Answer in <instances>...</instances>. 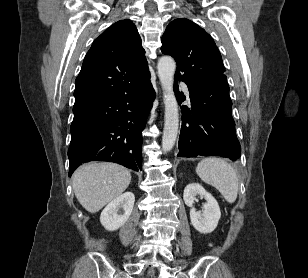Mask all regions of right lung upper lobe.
<instances>
[{
  "instance_id": "obj_1",
  "label": "right lung upper lobe",
  "mask_w": 308,
  "mask_h": 278,
  "mask_svg": "<svg viewBox=\"0 0 308 278\" xmlns=\"http://www.w3.org/2000/svg\"><path fill=\"white\" fill-rule=\"evenodd\" d=\"M150 76L145 50L133 22L118 21L98 38L86 54L75 80V104L125 94Z\"/></svg>"
}]
</instances>
